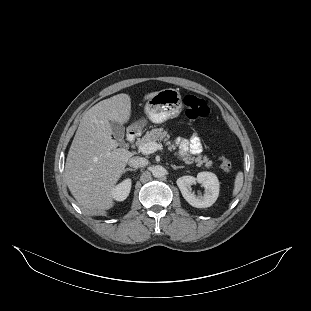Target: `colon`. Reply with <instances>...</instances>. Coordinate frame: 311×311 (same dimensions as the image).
I'll use <instances>...</instances> for the list:
<instances>
[{
	"label": "colon",
	"instance_id": "5ec220e1",
	"mask_svg": "<svg viewBox=\"0 0 311 311\" xmlns=\"http://www.w3.org/2000/svg\"><path fill=\"white\" fill-rule=\"evenodd\" d=\"M185 115L192 120L201 119L208 115L209 107L207 103L194 95H186L183 99ZM220 167L224 171H229L232 167L231 161L226 156L219 159Z\"/></svg>",
	"mask_w": 311,
	"mask_h": 311
}]
</instances>
